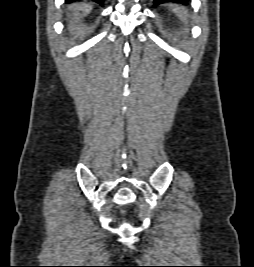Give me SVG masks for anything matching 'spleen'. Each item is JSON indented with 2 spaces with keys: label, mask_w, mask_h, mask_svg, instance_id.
<instances>
[{
  "label": "spleen",
  "mask_w": 254,
  "mask_h": 267,
  "mask_svg": "<svg viewBox=\"0 0 254 267\" xmlns=\"http://www.w3.org/2000/svg\"><path fill=\"white\" fill-rule=\"evenodd\" d=\"M174 13L184 22L188 21V11L184 7L175 5L173 6Z\"/></svg>",
  "instance_id": "3e777b00"
}]
</instances>
